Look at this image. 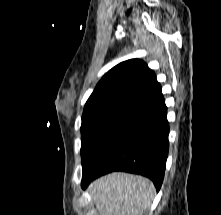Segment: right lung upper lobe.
<instances>
[{
    "instance_id": "obj_1",
    "label": "right lung upper lobe",
    "mask_w": 221,
    "mask_h": 215,
    "mask_svg": "<svg viewBox=\"0 0 221 215\" xmlns=\"http://www.w3.org/2000/svg\"><path fill=\"white\" fill-rule=\"evenodd\" d=\"M162 95L155 73L139 59L119 63L99 81L86 104L113 102L139 108Z\"/></svg>"
}]
</instances>
